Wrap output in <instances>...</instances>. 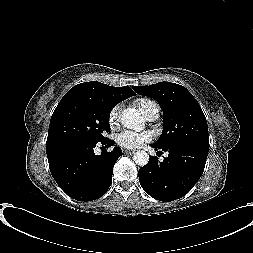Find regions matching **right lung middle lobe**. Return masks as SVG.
I'll list each match as a JSON object with an SVG mask.
<instances>
[{"label":"right lung middle lobe","instance_id":"dd1d6c3e","mask_svg":"<svg viewBox=\"0 0 253 253\" xmlns=\"http://www.w3.org/2000/svg\"><path fill=\"white\" fill-rule=\"evenodd\" d=\"M113 106L80 95L61 99L52 114L46 145L70 139L101 142L109 132V115Z\"/></svg>","mask_w":253,"mask_h":253}]
</instances>
